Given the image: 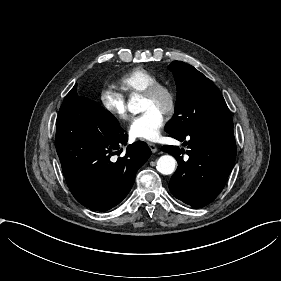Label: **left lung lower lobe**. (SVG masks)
Masks as SVG:
<instances>
[{"instance_id": "left-lung-lower-lobe-1", "label": "left lung lower lobe", "mask_w": 281, "mask_h": 281, "mask_svg": "<svg viewBox=\"0 0 281 281\" xmlns=\"http://www.w3.org/2000/svg\"><path fill=\"white\" fill-rule=\"evenodd\" d=\"M173 137L179 141L189 139L183 145H188L190 150H187L189 159L184 161L181 156L184 149L161 148L178 162L169 183L170 191L194 208L204 207L222 191L233 168L236 157L233 123L199 128Z\"/></svg>"}]
</instances>
